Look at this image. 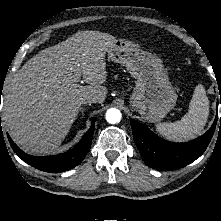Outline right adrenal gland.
<instances>
[{"instance_id": "2a0ac1e0", "label": "right adrenal gland", "mask_w": 221, "mask_h": 221, "mask_svg": "<svg viewBox=\"0 0 221 221\" xmlns=\"http://www.w3.org/2000/svg\"><path fill=\"white\" fill-rule=\"evenodd\" d=\"M80 111H81V114H82V117L84 116V108H80Z\"/></svg>"}]
</instances>
